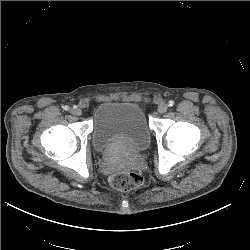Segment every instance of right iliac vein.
I'll use <instances>...</instances> for the list:
<instances>
[{
	"label": "right iliac vein",
	"instance_id": "1",
	"mask_svg": "<svg viewBox=\"0 0 250 250\" xmlns=\"http://www.w3.org/2000/svg\"><path fill=\"white\" fill-rule=\"evenodd\" d=\"M71 114H73L74 116H80L82 115V110L79 108H72L70 110Z\"/></svg>",
	"mask_w": 250,
	"mask_h": 250
}]
</instances>
